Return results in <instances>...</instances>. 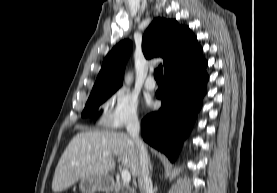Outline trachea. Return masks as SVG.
Listing matches in <instances>:
<instances>
[{
	"label": "trachea",
	"instance_id": "1",
	"mask_svg": "<svg viewBox=\"0 0 277 193\" xmlns=\"http://www.w3.org/2000/svg\"><path fill=\"white\" fill-rule=\"evenodd\" d=\"M154 77L157 81H162L163 80V67L159 66L155 71H154Z\"/></svg>",
	"mask_w": 277,
	"mask_h": 193
}]
</instances>
